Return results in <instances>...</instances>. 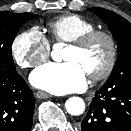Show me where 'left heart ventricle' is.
I'll return each instance as SVG.
<instances>
[{
  "label": "left heart ventricle",
  "mask_w": 131,
  "mask_h": 131,
  "mask_svg": "<svg viewBox=\"0 0 131 131\" xmlns=\"http://www.w3.org/2000/svg\"><path fill=\"white\" fill-rule=\"evenodd\" d=\"M108 56L109 48L107 42L102 38H98L83 50L67 47L63 59L78 63L86 75H90L104 67Z\"/></svg>",
  "instance_id": "obj_1"
}]
</instances>
